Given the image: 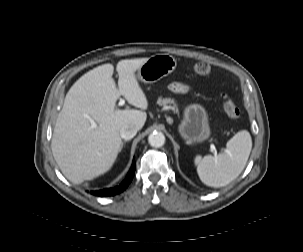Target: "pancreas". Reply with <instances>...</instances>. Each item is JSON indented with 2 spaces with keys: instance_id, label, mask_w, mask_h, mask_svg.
<instances>
[{
  "instance_id": "cf45deb5",
  "label": "pancreas",
  "mask_w": 303,
  "mask_h": 252,
  "mask_svg": "<svg viewBox=\"0 0 303 252\" xmlns=\"http://www.w3.org/2000/svg\"><path fill=\"white\" fill-rule=\"evenodd\" d=\"M157 104L159 106H164V107L170 106L174 112H176V113L179 112L177 102L172 98L159 97L158 100H157Z\"/></svg>"
}]
</instances>
